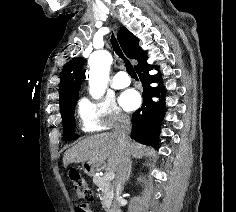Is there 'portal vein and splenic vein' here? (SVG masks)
I'll return each mask as SVG.
<instances>
[{
  "mask_svg": "<svg viewBox=\"0 0 236 212\" xmlns=\"http://www.w3.org/2000/svg\"><path fill=\"white\" fill-rule=\"evenodd\" d=\"M105 177H106L107 180H113L114 177H115L114 171H108V172L106 173Z\"/></svg>",
  "mask_w": 236,
  "mask_h": 212,
  "instance_id": "portal-vein-and-splenic-vein-1",
  "label": "portal vein and splenic vein"
}]
</instances>
